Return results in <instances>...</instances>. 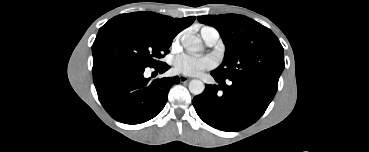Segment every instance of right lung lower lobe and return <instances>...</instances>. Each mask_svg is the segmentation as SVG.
Returning a JSON list of instances; mask_svg holds the SVG:
<instances>
[{
	"mask_svg": "<svg viewBox=\"0 0 369 152\" xmlns=\"http://www.w3.org/2000/svg\"><path fill=\"white\" fill-rule=\"evenodd\" d=\"M163 73L170 67L166 63L152 67ZM145 67L119 64L93 74L98 98L115 120L125 124H140L158 115L164 108L168 92L179 77L150 81L143 75Z\"/></svg>",
	"mask_w": 369,
	"mask_h": 152,
	"instance_id": "right-lung-lower-lobe-1",
	"label": "right lung lower lobe"
}]
</instances>
